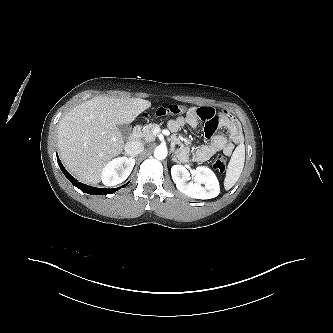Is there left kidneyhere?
Here are the masks:
<instances>
[{
    "mask_svg": "<svg viewBox=\"0 0 333 333\" xmlns=\"http://www.w3.org/2000/svg\"><path fill=\"white\" fill-rule=\"evenodd\" d=\"M171 175L177 189L188 197L211 199L220 193L219 181L215 173L206 166L197 167L191 174L183 165H174ZM192 179V182H188Z\"/></svg>",
    "mask_w": 333,
    "mask_h": 333,
    "instance_id": "obj_1",
    "label": "left kidney"
}]
</instances>
